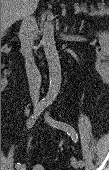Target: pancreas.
Here are the masks:
<instances>
[{"instance_id":"obj_1","label":"pancreas","mask_w":109,"mask_h":170,"mask_svg":"<svg viewBox=\"0 0 109 170\" xmlns=\"http://www.w3.org/2000/svg\"><path fill=\"white\" fill-rule=\"evenodd\" d=\"M81 12L88 13V10L85 6L79 7ZM90 16H107L109 14V8L107 6L101 5L98 10L91 9V11L88 13Z\"/></svg>"}]
</instances>
